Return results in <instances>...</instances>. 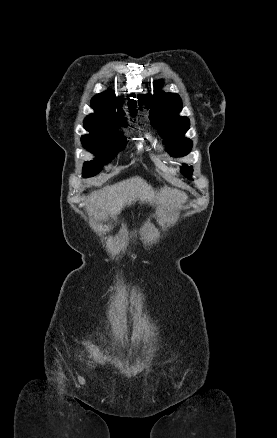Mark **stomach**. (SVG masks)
Masks as SVG:
<instances>
[{"label":"stomach","instance_id":"0dacf381","mask_svg":"<svg viewBox=\"0 0 277 438\" xmlns=\"http://www.w3.org/2000/svg\"><path fill=\"white\" fill-rule=\"evenodd\" d=\"M182 201H183V203H187V201H188V198L186 197V196H183V198H182Z\"/></svg>","mask_w":277,"mask_h":438}]
</instances>
